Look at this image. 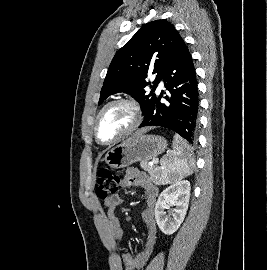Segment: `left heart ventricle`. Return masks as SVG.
Listing matches in <instances>:
<instances>
[{
	"mask_svg": "<svg viewBox=\"0 0 267 270\" xmlns=\"http://www.w3.org/2000/svg\"><path fill=\"white\" fill-rule=\"evenodd\" d=\"M134 121L132 109L124 104L109 107L101 116L98 124V134L102 141H110L125 130Z\"/></svg>",
	"mask_w": 267,
	"mask_h": 270,
	"instance_id": "obj_1",
	"label": "left heart ventricle"
}]
</instances>
